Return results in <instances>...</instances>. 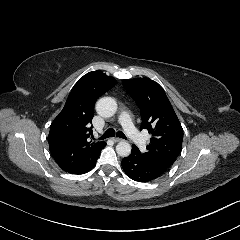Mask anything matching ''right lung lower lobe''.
<instances>
[{
	"instance_id": "1",
	"label": "right lung lower lobe",
	"mask_w": 240,
	"mask_h": 240,
	"mask_svg": "<svg viewBox=\"0 0 240 240\" xmlns=\"http://www.w3.org/2000/svg\"><path fill=\"white\" fill-rule=\"evenodd\" d=\"M95 165H96V163L86 172H89ZM86 172H84V173H86Z\"/></svg>"
}]
</instances>
